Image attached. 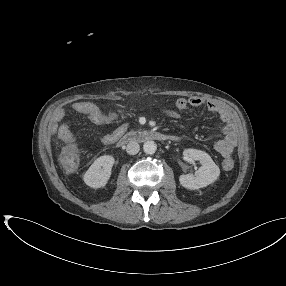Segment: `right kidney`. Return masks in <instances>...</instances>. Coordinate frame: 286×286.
I'll return each instance as SVG.
<instances>
[{"instance_id": "1", "label": "right kidney", "mask_w": 286, "mask_h": 286, "mask_svg": "<svg viewBox=\"0 0 286 286\" xmlns=\"http://www.w3.org/2000/svg\"><path fill=\"white\" fill-rule=\"evenodd\" d=\"M115 159L111 155L98 157L83 176V180L91 188L104 187L110 176Z\"/></svg>"}]
</instances>
